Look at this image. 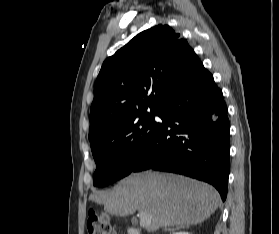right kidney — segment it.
I'll use <instances>...</instances> for the list:
<instances>
[{
  "mask_svg": "<svg viewBox=\"0 0 279 234\" xmlns=\"http://www.w3.org/2000/svg\"><path fill=\"white\" fill-rule=\"evenodd\" d=\"M173 234H191V233H189V232H182V231H180V232H174Z\"/></svg>",
  "mask_w": 279,
  "mask_h": 234,
  "instance_id": "obj_1",
  "label": "right kidney"
}]
</instances>
